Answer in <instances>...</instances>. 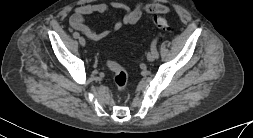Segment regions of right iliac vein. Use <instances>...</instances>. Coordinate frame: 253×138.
<instances>
[{
	"instance_id": "63e3f726",
	"label": "right iliac vein",
	"mask_w": 253,
	"mask_h": 138,
	"mask_svg": "<svg viewBox=\"0 0 253 138\" xmlns=\"http://www.w3.org/2000/svg\"><path fill=\"white\" fill-rule=\"evenodd\" d=\"M79 43L81 46H85L86 42H85V39L83 37H80L79 38Z\"/></svg>"
}]
</instances>
